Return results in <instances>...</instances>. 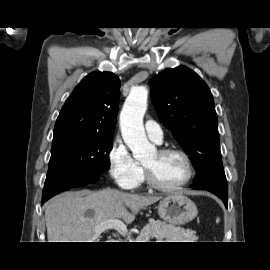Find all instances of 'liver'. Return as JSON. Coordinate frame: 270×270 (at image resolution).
Returning a JSON list of instances; mask_svg holds the SVG:
<instances>
[{"label": "liver", "instance_id": "obj_1", "mask_svg": "<svg viewBox=\"0 0 270 270\" xmlns=\"http://www.w3.org/2000/svg\"><path fill=\"white\" fill-rule=\"evenodd\" d=\"M160 200L113 189L92 192L83 190L54 197L45 210L48 242H96L95 227L111 219L134 221L143 207ZM129 208L131 212L127 210ZM90 215H87V213Z\"/></svg>", "mask_w": 270, "mask_h": 270}]
</instances>
